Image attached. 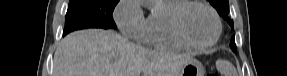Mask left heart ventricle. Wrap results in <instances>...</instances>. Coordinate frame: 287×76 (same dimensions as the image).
Masks as SVG:
<instances>
[{"mask_svg":"<svg viewBox=\"0 0 287 76\" xmlns=\"http://www.w3.org/2000/svg\"><path fill=\"white\" fill-rule=\"evenodd\" d=\"M182 27L187 37L198 44L209 42L216 32L212 15L206 9L197 6L190 7L185 12Z\"/></svg>","mask_w":287,"mask_h":76,"instance_id":"left-heart-ventricle-1","label":"left heart ventricle"}]
</instances>
